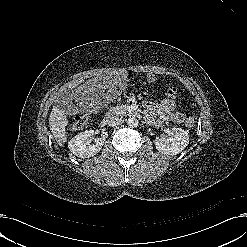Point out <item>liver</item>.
<instances>
[{
    "label": "liver",
    "mask_w": 247,
    "mask_h": 247,
    "mask_svg": "<svg viewBox=\"0 0 247 247\" xmlns=\"http://www.w3.org/2000/svg\"><path fill=\"white\" fill-rule=\"evenodd\" d=\"M80 82L81 81H73L69 84V87L74 88L75 86L80 84ZM57 103H59L58 100ZM67 125H68L67 116L65 115L64 111L59 108L58 104H56L53 107L52 112L50 114L49 127L51 133L53 134V137L61 147L64 145L67 139V135H66Z\"/></svg>",
    "instance_id": "obj_1"
}]
</instances>
